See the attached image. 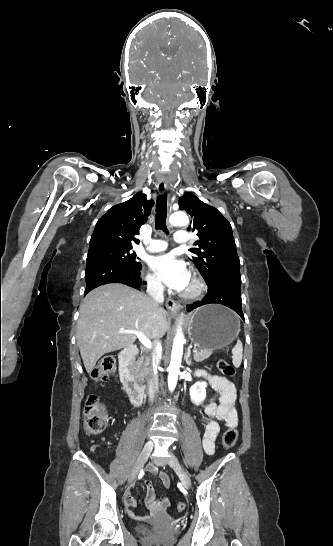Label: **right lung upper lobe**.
I'll list each match as a JSON object with an SVG mask.
<instances>
[{"label": "right lung upper lobe", "instance_id": "right-lung-upper-lobe-1", "mask_svg": "<svg viewBox=\"0 0 333 546\" xmlns=\"http://www.w3.org/2000/svg\"><path fill=\"white\" fill-rule=\"evenodd\" d=\"M153 200L146 195L135 194L126 202L111 207L96 223L90 239L89 251L103 247L132 248L138 240L134 237L146 222Z\"/></svg>", "mask_w": 333, "mask_h": 546}]
</instances>
